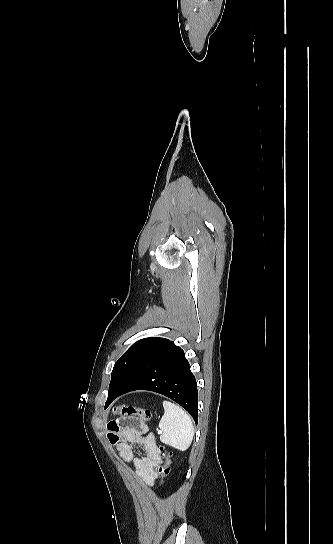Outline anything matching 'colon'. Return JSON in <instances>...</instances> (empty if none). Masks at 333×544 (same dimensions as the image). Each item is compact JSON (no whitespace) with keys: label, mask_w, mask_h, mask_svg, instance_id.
I'll return each instance as SVG.
<instances>
[{"label":"colon","mask_w":333,"mask_h":544,"mask_svg":"<svg viewBox=\"0 0 333 544\" xmlns=\"http://www.w3.org/2000/svg\"><path fill=\"white\" fill-rule=\"evenodd\" d=\"M113 413L119 416L128 418H137L141 422H152L153 414L148 409L139 408L133 405L120 404L113 408ZM159 450L162 452L164 462L157 466L156 473L159 476L160 484H163L164 479L170 472V457L172 453L167 450L165 446H160Z\"/></svg>","instance_id":"colon-1"}]
</instances>
